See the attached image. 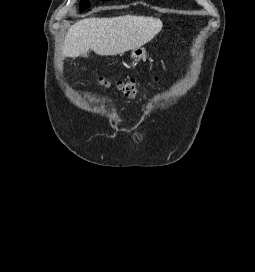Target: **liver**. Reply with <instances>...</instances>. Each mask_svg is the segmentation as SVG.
Listing matches in <instances>:
<instances>
[{"instance_id":"6515ba94","label":"liver","mask_w":255,"mask_h":272,"mask_svg":"<svg viewBox=\"0 0 255 272\" xmlns=\"http://www.w3.org/2000/svg\"><path fill=\"white\" fill-rule=\"evenodd\" d=\"M160 19L124 15L113 18H87L72 25L65 37L63 55L76 58L90 49L109 56L139 48L162 29Z\"/></svg>"}]
</instances>
